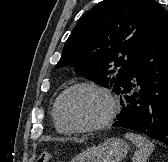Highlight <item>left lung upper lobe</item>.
Returning <instances> with one entry per match:
<instances>
[{
    "mask_svg": "<svg viewBox=\"0 0 168 162\" xmlns=\"http://www.w3.org/2000/svg\"><path fill=\"white\" fill-rule=\"evenodd\" d=\"M167 18L155 0H103L76 24L56 68L72 66L78 75L117 92Z\"/></svg>",
    "mask_w": 168,
    "mask_h": 162,
    "instance_id": "1",
    "label": "left lung upper lobe"
}]
</instances>
